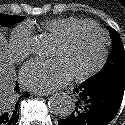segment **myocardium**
Listing matches in <instances>:
<instances>
[{
    "mask_svg": "<svg viewBox=\"0 0 125 125\" xmlns=\"http://www.w3.org/2000/svg\"><path fill=\"white\" fill-rule=\"evenodd\" d=\"M84 27H92L98 30L103 37V46L101 55L97 63L91 69L87 70L86 72L73 75V78L77 81L87 80L90 77L97 74L104 67L109 55V46H110L109 33L104 27H102L100 24L92 20H84L78 24L69 27L61 36H59L56 39V42L61 45L66 44L79 29Z\"/></svg>",
    "mask_w": 125,
    "mask_h": 125,
    "instance_id": "1",
    "label": "myocardium"
}]
</instances>
